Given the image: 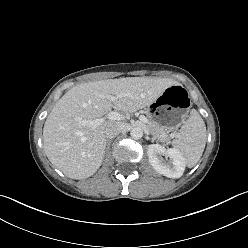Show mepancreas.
<instances>
[{"label":"pancreas","instance_id":"obj_1","mask_svg":"<svg viewBox=\"0 0 248 248\" xmlns=\"http://www.w3.org/2000/svg\"><path fill=\"white\" fill-rule=\"evenodd\" d=\"M147 128L152 136L161 140V141H168L170 139V135L168 134V130L165 127H162L155 123L152 120H148Z\"/></svg>","mask_w":248,"mask_h":248}]
</instances>
